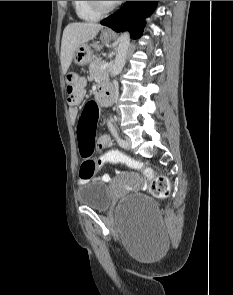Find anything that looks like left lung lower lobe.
Masks as SVG:
<instances>
[{
  "label": "left lung lower lobe",
  "mask_w": 233,
  "mask_h": 295,
  "mask_svg": "<svg viewBox=\"0 0 233 295\" xmlns=\"http://www.w3.org/2000/svg\"><path fill=\"white\" fill-rule=\"evenodd\" d=\"M157 1H127L124 6L101 21L116 32L128 30L132 38H139L145 27V18L152 13Z\"/></svg>",
  "instance_id": "1"
}]
</instances>
